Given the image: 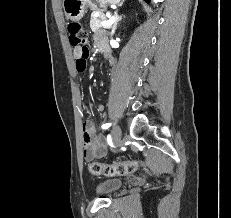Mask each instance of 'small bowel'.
I'll return each mask as SVG.
<instances>
[{"mask_svg":"<svg viewBox=\"0 0 231 218\" xmlns=\"http://www.w3.org/2000/svg\"><path fill=\"white\" fill-rule=\"evenodd\" d=\"M95 41L100 50L104 52L107 50L106 43L101 34H96ZM81 54L80 49H74V56L76 57V69L78 72H84L88 65L87 56L78 58ZM104 105L100 104L98 110L102 112ZM107 147L104 139L101 135L94 134V126L92 123L87 122L83 126V153L87 159H93L97 157H104L106 155Z\"/></svg>","mask_w":231,"mask_h":218,"instance_id":"1","label":"small bowel"}]
</instances>
